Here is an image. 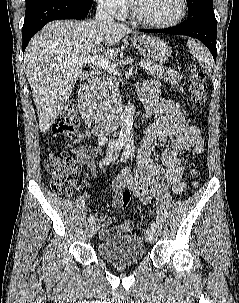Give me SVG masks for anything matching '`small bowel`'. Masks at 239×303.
<instances>
[{"label":"small bowel","mask_w":239,"mask_h":303,"mask_svg":"<svg viewBox=\"0 0 239 303\" xmlns=\"http://www.w3.org/2000/svg\"><path fill=\"white\" fill-rule=\"evenodd\" d=\"M143 99L147 107L156 113L157 118L155 123L146 129L145 136L138 148L134 178L131 170L125 169L112 184L116 193L112 202L114 208L122 207L119 196L123 189L129 190L144 203L152 200L160 188L161 182L170 185L173 193H182L185 189V182L181 154L191 150L194 155L199 156L204 150V141L198 129L184 123L178 106L161 96L157 83L143 89ZM92 137H96L95 144L83 143ZM106 141L104 136L88 129L78 136L72 149L77 160L88 167L94 177L98 172L94 160L100 154L101 147ZM156 141L170 142V148L161 154V160L166 170L151 158V146ZM111 221L112 219L108 215H103L98 219L97 225L103 240L110 241L122 233L129 232L132 228L130 220L115 227H110Z\"/></svg>","instance_id":"c3829d8e"}]
</instances>
